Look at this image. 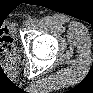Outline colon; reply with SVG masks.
<instances>
[{"instance_id":"obj_1","label":"colon","mask_w":93,"mask_h":93,"mask_svg":"<svg viewBox=\"0 0 93 93\" xmlns=\"http://www.w3.org/2000/svg\"><path fill=\"white\" fill-rule=\"evenodd\" d=\"M11 43H12L11 37L6 32H2L1 33V50L4 54L8 52L11 46Z\"/></svg>"}]
</instances>
